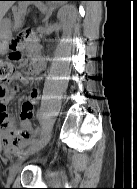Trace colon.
<instances>
[{
	"label": "colon",
	"instance_id": "colon-1",
	"mask_svg": "<svg viewBox=\"0 0 137 189\" xmlns=\"http://www.w3.org/2000/svg\"><path fill=\"white\" fill-rule=\"evenodd\" d=\"M26 39L24 36H19L11 43V50L6 58H0V86L6 83L13 72V62L20 59L19 45ZM23 134V132H21Z\"/></svg>",
	"mask_w": 137,
	"mask_h": 189
}]
</instances>
